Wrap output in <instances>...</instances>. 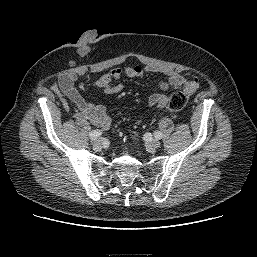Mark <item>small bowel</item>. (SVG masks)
<instances>
[{
    "mask_svg": "<svg viewBox=\"0 0 257 257\" xmlns=\"http://www.w3.org/2000/svg\"><path fill=\"white\" fill-rule=\"evenodd\" d=\"M150 71L154 70L140 66H130L124 69L115 68L100 76L96 81V86L103 89L107 95H116L123 89L119 82L122 76L142 78L146 72ZM163 73L167 76V80L160 83L162 90L183 88L184 92L189 95L198 87L197 79L192 74L182 76L170 70H165ZM77 78L76 73H65L51 87L59 96L68 98L76 105V116L88 119L91 124L103 130L109 129L112 121L107 108L85 100L75 87ZM168 101L169 97L164 94H153L148 99V106L150 108H163L168 104Z\"/></svg>",
    "mask_w": 257,
    "mask_h": 257,
    "instance_id": "small-bowel-1",
    "label": "small bowel"
}]
</instances>
